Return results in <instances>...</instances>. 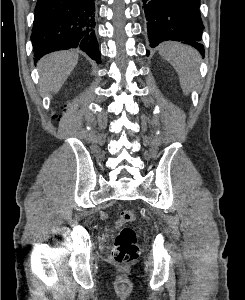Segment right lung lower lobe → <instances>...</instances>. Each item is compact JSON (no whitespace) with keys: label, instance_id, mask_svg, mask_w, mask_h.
Wrapping results in <instances>:
<instances>
[{"label":"right lung lower lobe","instance_id":"obj_1","mask_svg":"<svg viewBox=\"0 0 245 300\" xmlns=\"http://www.w3.org/2000/svg\"><path fill=\"white\" fill-rule=\"evenodd\" d=\"M94 0H37L31 40L35 58L80 48L101 63L95 38Z\"/></svg>","mask_w":245,"mask_h":300}]
</instances>
